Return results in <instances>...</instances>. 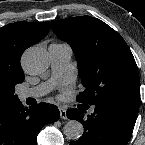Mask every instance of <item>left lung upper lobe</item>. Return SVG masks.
Instances as JSON below:
<instances>
[{
	"mask_svg": "<svg viewBox=\"0 0 145 145\" xmlns=\"http://www.w3.org/2000/svg\"><path fill=\"white\" fill-rule=\"evenodd\" d=\"M53 32L73 49L85 90L77 100L96 104L115 99L140 100L135 59L124 39L90 16L51 21Z\"/></svg>",
	"mask_w": 145,
	"mask_h": 145,
	"instance_id": "5c2ea615",
	"label": "left lung upper lobe"
}]
</instances>
